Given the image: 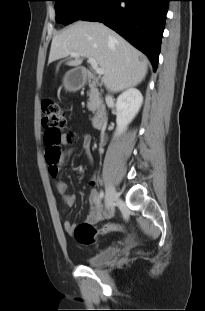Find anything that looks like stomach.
Instances as JSON below:
<instances>
[{"label": "stomach", "mask_w": 205, "mask_h": 311, "mask_svg": "<svg viewBox=\"0 0 205 311\" xmlns=\"http://www.w3.org/2000/svg\"><path fill=\"white\" fill-rule=\"evenodd\" d=\"M85 81L83 72L76 69L68 71L63 79L65 89L68 91H76L82 87Z\"/></svg>", "instance_id": "stomach-1"}]
</instances>
